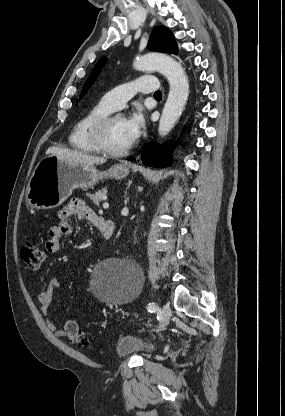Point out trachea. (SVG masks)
I'll return each mask as SVG.
<instances>
[{
    "instance_id": "trachea-1",
    "label": "trachea",
    "mask_w": 285,
    "mask_h": 416,
    "mask_svg": "<svg viewBox=\"0 0 285 416\" xmlns=\"http://www.w3.org/2000/svg\"><path fill=\"white\" fill-rule=\"evenodd\" d=\"M154 96L162 97L161 91L158 90L157 92H155L154 93Z\"/></svg>"
}]
</instances>
